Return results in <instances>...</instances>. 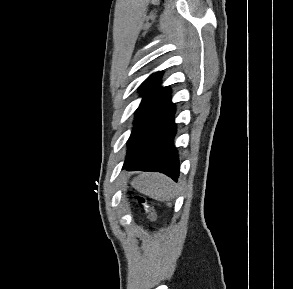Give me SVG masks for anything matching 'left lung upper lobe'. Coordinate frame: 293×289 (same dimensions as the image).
Wrapping results in <instances>:
<instances>
[{
    "instance_id": "1",
    "label": "left lung upper lobe",
    "mask_w": 293,
    "mask_h": 289,
    "mask_svg": "<svg viewBox=\"0 0 293 289\" xmlns=\"http://www.w3.org/2000/svg\"><path fill=\"white\" fill-rule=\"evenodd\" d=\"M162 73L156 72L150 75L141 85L139 91L144 98L136 110L135 122H137L145 113L150 111L154 106H156L170 90L168 87L159 86V81L161 79ZM130 151L127 152V162L131 156Z\"/></svg>"
}]
</instances>
